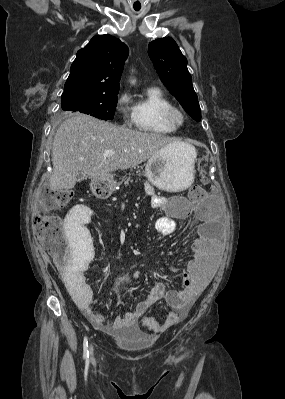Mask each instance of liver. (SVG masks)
<instances>
[{
  "instance_id": "6515ba94",
  "label": "liver",
  "mask_w": 285,
  "mask_h": 399,
  "mask_svg": "<svg viewBox=\"0 0 285 399\" xmlns=\"http://www.w3.org/2000/svg\"><path fill=\"white\" fill-rule=\"evenodd\" d=\"M176 143L160 134L75 114L60 125L54 137L49 188L54 191L74 188L78 173L95 179L133 168ZM105 151H113L114 155L104 158Z\"/></svg>"
}]
</instances>
